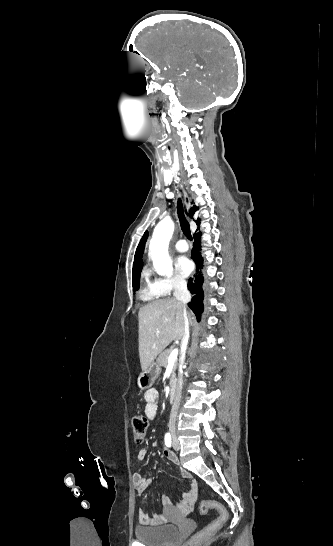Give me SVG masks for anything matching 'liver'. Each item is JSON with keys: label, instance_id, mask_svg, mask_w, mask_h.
<instances>
[{"label": "liver", "instance_id": "6515ba94", "mask_svg": "<svg viewBox=\"0 0 333 546\" xmlns=\"http://www.w3.org/2000/svg\"><path fill=\"white\" fill-rule=\"evenodd\" d=\"M138 325L140 364L145 371L172 341L182 339L183 306L174 298L149 303L140 308Z\"/></svg>", "mask_w": 333, "mask_h": 546}]
</instances>
